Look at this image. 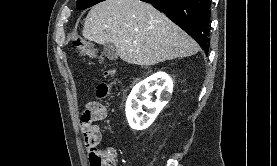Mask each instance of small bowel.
<instances>
[{
    "label": "small bowel",
    "instance_id": "1",
    "mask_svg": "<svg viewBox=\"0 0 277 166\" xmlns=\"http://www.w3.org/2000/svg\"><path fill=\"white\" fill-rule=\"evenodd\" d=\"M87 111H89L91 116H92V122H93V124L96 121L103 119L105 117V115H106V109L99 102H97V101H90V102H88L87 106H86V109L84 110L83 114H86ZM99 139H100V137H99ZM88 146H89V159H90L91 148H90L89 144H88Z\"/></svg>",
    "mask_w": 277,
    "mask_h": 166
}]
</instances>
